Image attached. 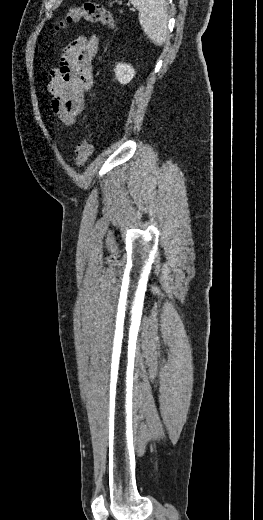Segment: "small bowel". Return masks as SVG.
<instances>
[{"label": "small bowel", "instance_id": "obj_1", "mask_svg": "<svg viewBox=\"0 0 263 520\" xmlns=\"http://www.w3.org/2000/svg\"><path fill=\"white\" fill-rule=\"evenodd\" d=\"M97 50L96 36L79 37L63 49L58 65L50 71V108L66 125L74 124L84 110L86 93L94 84L92 61Z\"/></svg>", "mask_w": 263, "mask_h": 520}]
</instances>
